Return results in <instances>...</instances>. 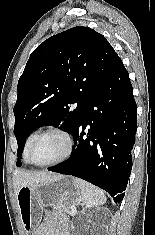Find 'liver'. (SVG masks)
Listing matches in <instances>:
<instances>
[{
  "label": "liver",
  "instance_id": "6515ba94",
  "mask_svg": "<svg viewBox=\"0 0 155 235\" xmlns=\"http://www.w3.org/2000/svg\"><path fill=\"white\" fill-rule=\"evenodd\" d=\"M60 176L49 172H30L22 169H16L13 174V183L17 195L20 187L45 184L58 179Z\"/></svg>",
  "mask_w": 155,
  "mask_h": 235
}]
</instances>
